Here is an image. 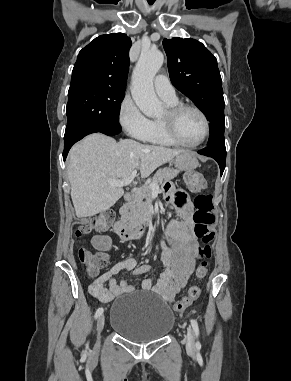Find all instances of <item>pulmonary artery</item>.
I'll return each instance as SVG.
<instances>
[{"label":"pulmonary artery","instance_id":"pulmonary-artery-1","mask_svg":"<svg viewBox=\"0 0 291 381\" xmlns=\"http://www.w3.org/2000/svg\"><path fill=\"white\" fill-rule=\"evenodd\" d=\"M157 94L166 101L177 99L176 91L166 75H158L154 79Z\"/></svg>","mask_w":291,"mask_h":381}]
</instances>
